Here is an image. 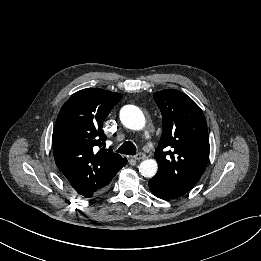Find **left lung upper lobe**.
I'll use <instances>...</instances> for the list:
<instances>
[{
    "mask_svg": "<svg viewBox=\"0 0 261 261\" xmlns=\"http://www.w3.org/2000/svg\"><path fill=\"white\" fill-rule=\"evenodd\" d=\"M153 96L163 117V132L154 154L159 169L154 177L183 196L199 180L208 163L206 120L200 107L181 91L165 89Z\"/></svg>",
    "mask_w": 261,
    "mask_h": 261,
    "instance_id": "obj_1",
    "label": "left lung upper lobe"
}]
</instances>
